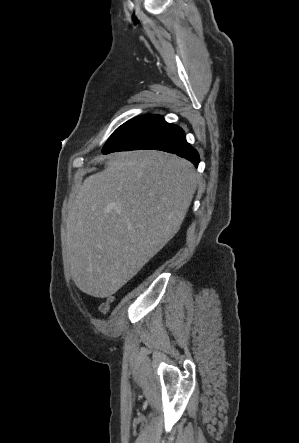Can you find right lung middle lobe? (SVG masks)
Returning a JSON list of instances; mask_svg holds the SVG:
<instances>
[{
	"mask_svg": "<svg viewBox=\"0 0 299 443\" xmlns=\"http://www.w3.org/2000/svg\"><path fill=\"white\" fill-rule=\"evenodd\" d=\"M136 118L127 121L126 123H124L123 125H121L119 128H117L114 133L110 136V138L107 140V142L105 143L103 150L107 149L108 147H110L115 141L116 139L129 127V125L135 120Z\"/></svg>",
	"mask_w": 299,
	"mask_h": 443,
	"instance_id": "1",
	"label": "right lung middle lobe"
}]
</instances>
